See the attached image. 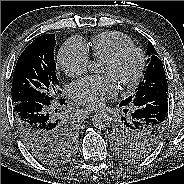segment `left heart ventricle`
I'll return each mask as SVG.
<instances>
[{
	"label": "left heart ventricle",
	"instance_id": "1",
	"mask_svg": "<svg viewBox=\"0 0 184 184\" xmlns=\"http://www.w3.org/2000/svg\"><path fill=\"white\" fill-rule=\"evenodd\" d=\"M138 64V59L136 55L130 54L128 55L124 61L119 66H112L106 62H102L100 73L105 75H111L117 81L121 78L130 77L135 71Z\"/></svg>",
	"mask_w": 184,
	"mask_h": 184
}]
</instances>
